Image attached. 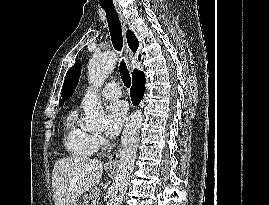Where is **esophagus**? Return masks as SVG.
Segmentation results:
<instances>
[{
	"mask_svg": "<svg viewBox=\"0 0 269 205\" xmlns=\"http://www.w3.org/2000/svg\"><path fill=\"white\" fill-rule=\"evenodd\" d=\"M116 11L119 15V19L121 21L122 24V30H123V34L125 36V32H126V25H127V21L126 18L123 14V10L121 7H116ZM124 51H125V59H126V63L129 66L130 61L133 58V52L130 50L127 42H126V38L124 37ZM118 157H119V149H117L107 160L106 164L107 165H115L118 161Z\"/></svg>",
	"mask_w": 269,
	"mask_h": 205,
	"instance_id": "34e87169",
	"label": "esophagus"
}]
</instances>
